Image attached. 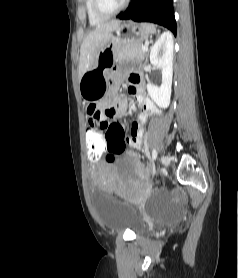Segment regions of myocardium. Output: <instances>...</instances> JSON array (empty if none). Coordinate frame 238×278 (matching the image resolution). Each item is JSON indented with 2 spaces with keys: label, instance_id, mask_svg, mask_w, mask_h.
<instances>
[{
  "label": "myocardium",
  "instance_id": "f54148a6",
  "mask_svg": "<svg viewBox=\"0 0 238 278\" xmlns=\"http://www.w3.org/2000/svg\"><path fill=\"white\" fill-rule=\"evenodd\" d=\"M129 1L130 0H123V2L117 8H115L113 10H106L102 6L101 0H92V7H93L94 13L97 16L105 19V18L112 17V16L118 14L119 12H121L128 5Z\"/></svg>",
  "mask_w": 238,
  "mask_h": 278
}]
</instances>
